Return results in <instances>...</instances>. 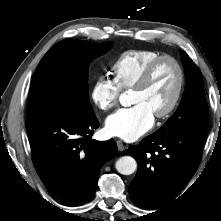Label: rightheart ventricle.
I'll use <instances>...</instances> for the list:
<instances>
[{
  "label": "right heart ventricle",
  "instance_id": "e07e8e85",
  "mask_svg": "<svg viewBox=\"0 0 221 221\" xmlns=\"http://www.w3.org/2000/svg\"><path fill=\"white\" fill-rule=\"evenodd\" d=\"M162 56L153 50H129L122 53L112 64L113 81L120 90L130 89L145 67Z\"/></svg>",
  "mask_w": 221,
  "mask_h": 221
}]
</instances>
